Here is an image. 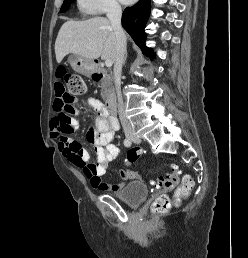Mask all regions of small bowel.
I'll return each mask as SVG.
<instances>
[{
    "label": "small bowel",
    "mask_w": 248,
    "mask_h": 258,
    "mask_svg": "<svg viewBox=\"0 0 248 258\" xmlns=\"http://www.w3.org/2000/svg\"><path fill=\"white\" fill-rule=\"evenodd\" d=\"M55 93L57 98L66 95V91L61 81L55 83ZM83 104L92 108L96 113L93 126L88 129L87 140L95 146L97 162H93L90 154L86 150H83L78 142L69 137V133H60L54 123H52V136L57 140L59 150L65 159L74 166L82 168L83 171L87 168L92 170L93 173L87 175V178L94 188L100 191L118 192L125 186L128 180L137 178L135 172L123 169L120 171L122 182L107 184L102 180L109 163L115 159L120 152L119 148L112 143L115 132L119 129V123L116 118L109 116L106 107L100 100L89 97L83 101ZM73 114L75 117L71 119V125L74 130L79 127V120L77 117L80 114V111L78 109H73ZM93 174L95 176H93Z\"/></svg>",
    "instance_id": "small-bowel-1"
}]
</instances>
